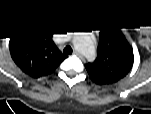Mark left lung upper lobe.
<instances>
[{
	"instance_id": "1",
	"label": "left lung upper lobe",
	"mask_w": 151,
	"mask_h": 114,
	"mask_svg": "<svg viewBox=\"0 0 151 114\" xmlns=\"http://www.w3.org/2000/svg\"><path fill=\"white\" fill-rule=\"evenodd\" d=\"M133 65L131 48L120 37L105 32L100 34L97 58L85 67L97 84H112L125 77Z\"/></svg>"
}]
</instances>
